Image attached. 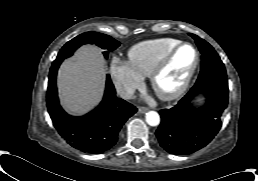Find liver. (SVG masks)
Here are the masks:
<instances>
[{
  "label": "liver",
  "mask_w": 258,
  "mask_h": 181,
  "mask_svg": "<svg viewBox=\"0 0 258 181\" xmlns=\"http://www.w3.org/2000/svg\"><path fill=\"white\" fill-rule=\"evenodd\" d=\"M106 62L98 48L86 45L65 60L58 71V92L62 106L73 115H83L101 100Z\"/></svg>",
  "instance_id": "6515ba94"
}]
</instances>
